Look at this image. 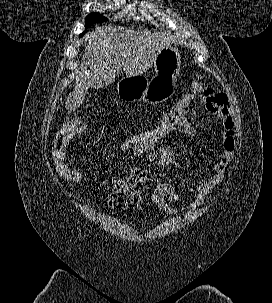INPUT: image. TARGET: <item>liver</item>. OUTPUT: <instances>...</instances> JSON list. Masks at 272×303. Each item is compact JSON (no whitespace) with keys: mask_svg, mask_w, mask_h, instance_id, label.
I'll return each mask as SVG.
<instances>
[{"mask_svg":"<svg viewBox=\"0 0 272 303\" xmlns=\"http://www.w3.org/2000/svg\"><path fill=\"white\" fill-rule=\"evenodd\" d=\"M86 37L88 43L74 90L65 102L68 113L83 103L90 87L102 88L113 83L121 69L128 78L146 72L160 51L171 43L170 38L157 33L112 25L97 28Z\"/></svg>","mask_w":272,"mask_h":303,"instance_id":"6515ba94","label":"liver"}]
</instances>
